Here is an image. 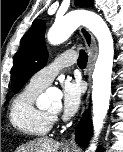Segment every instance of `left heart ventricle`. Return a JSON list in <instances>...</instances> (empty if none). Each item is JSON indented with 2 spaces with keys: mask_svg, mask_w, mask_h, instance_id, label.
Here are the masks:
<instances>
[{
  "mask_svg": "<svg viewBox=\"0 0 123 152\" xmlns=\"http://www.w3.org/2000/svg\"><path fill=\"white\" fill-rule=\"evenodd\" d=\"M60 103L59 102H56L53 104V106L49 109V112L51 113H58V111L60 110Z\"/></svg>",
  "mask_w": 123,
  "mask_h": 152,
  "instance_id": "left-heart-ventricle-1",
  "label": "left heart ventricle"
}]
</instances>
